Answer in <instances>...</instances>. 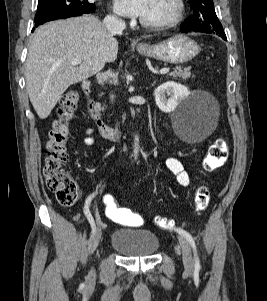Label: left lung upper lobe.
<instances>
[{"label":"left lung upper lobe","mask_w":267,"mask_h":301,"mask_svg":"<svg viewBox=\"0 0 267 301\" xmlns=\"http://www.w3.org/2000/svg\"><path fill=\"white\" fill-rule=\"evenodd\" d=\"M193 15L188 17L183 28L206 33L225 34L215 13L213 0H189Z\"/></svg>","instance_id":"5c2ea615"}]
</instances>
